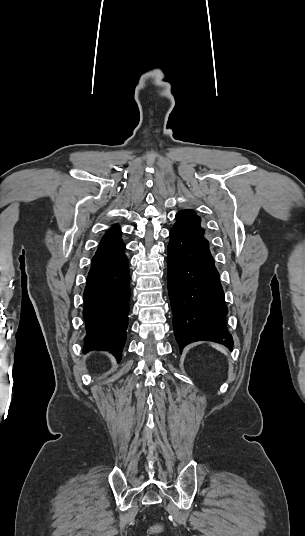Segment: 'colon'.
Returning a JSON list of instances; mask_svg holds the SVG:
<instances>
[{
    "mask_svg": "<svg viewBox=\"0 0 305 536\" xmlns=\"http://www.w3.org/2000/svg\"><path fill=\"white\" fill-rule=\"evenodd\" d=\"M161 526L160 525H153L151 528V531L149 532L150 536H157L161 532Z\"/></svg>",
    "mask_w": 305,
    "mask_h": 536,
    "instance_id": "5ec220e1",
    "label": "colon"
}]
</instances>
